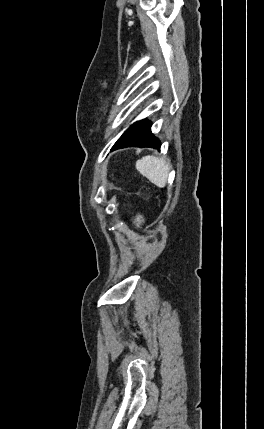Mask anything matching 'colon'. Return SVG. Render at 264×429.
I'll use <instances>...</instances> for the list:
<instances>
[{"instance_id":"5ec220e1","label":"colon","mask_w":264,"mask_h":429,"mask_svg":"<svg viewBox=\"0 0 264 429\" xmlns=\"http://www.w3.org/2000/svg\"><path fill=\"white\" fill-rule=\"evenodd\" d=\"M136 220H137V221H141V217H140V216H137V217H136Z\"/></svg>"}]
</instances>
